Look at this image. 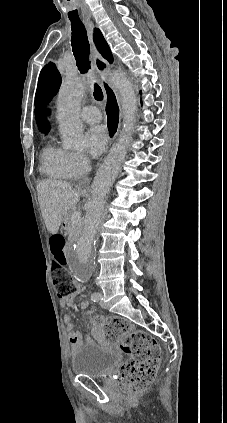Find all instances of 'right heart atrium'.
Masks as SVG:
<instances>
[{
  "label": "right heart atrium",
  "instance_id": "right-heart-atrium-1",
  "mask_svg": "<svg viewBox=\"0 0 227 423\" xmlns=\"http://www.w3.org/2000/svg\"><path fill=\"white\" fill-rule=\"evenodd\" d=\"M90 168L91 162L85 154L71 151L66 153L64 169L68 179H76L86 174Z\"/></svg>",
  "mask_w": 227,
  "mask_h": 423
}]
</instances>
